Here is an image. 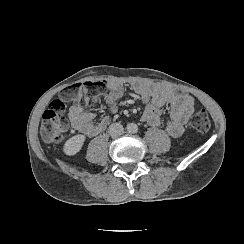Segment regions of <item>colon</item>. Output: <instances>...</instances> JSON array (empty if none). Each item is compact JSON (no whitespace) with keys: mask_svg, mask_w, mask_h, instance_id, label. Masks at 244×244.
Returning a JSON list of instances; mask_svg holds the SVG:
<instances>
[{"mask_svg":"<svg viewBox=\"0 0 244 244\" xmlns=\"http://www.w3.org/2000/svg\"><path fill=\"white\" fill-rule=\"evenodd\" d=\"M104 90V84L94 82L91 85L77 84L70 87H63L59 91L60 98L53 100L48 104L41 117L40 134L48 142H59L63 133L68 129L69 122L64 117L66 101L75 96L87 105H92L99 100ZM192 127L198 132L209 130L211 123L208 113L197 108L191 118Z\"/></svg>","mask_w":244,"mask_h":244,"instance_id":"obj_1","label":"colon"}]
</instances>
